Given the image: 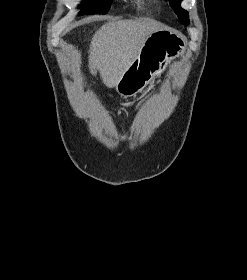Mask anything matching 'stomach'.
<instances>
[{
  "instance_id": "1",
  "label": "stomach",
  "mask_w": 247,
  "mask_h": 280,
  "mask_svg": "<svg viewBox=\"0 0 247 280\" xmlns=\"http://www.w3.org/2000/svg\"><path fill=\"white\" fill-rule=\"evenodd\" d=\"M182 48L180 37L169 31L160 30L150 34L137 58L118 82L116 91L122 96H132L142 91L154 77L161 74Z\"/></svg>"
}]
</instances>
